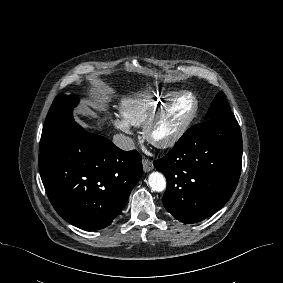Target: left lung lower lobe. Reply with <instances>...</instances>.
<instances>
[{
    "label": "left lung lower lobe",
    "mask_w": 283,
    "mask_h": 283,
    "mask_svg": "<svg viewBox=\"0 0 283 283\" xmlns=\"http://www.w3.org/2000/svg\"><path fill=\"white\" fill-rule=\"evenodd\" d=\"M242 165V137L234 118L207 120L189 128L154 166L167 180L163 204L184 223L199 222L232 196Z\"/></svg>",
    "instance_id": "left-lung-lower-lobe-1"
}]
</instances>
